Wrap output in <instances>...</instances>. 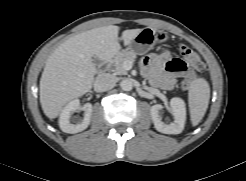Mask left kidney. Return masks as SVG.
Masks as SVG:
<instances>
[{"instance_id":"1","label":"left kidney","mask_w":246,"mask_h":181,"mask_svg":"<svg viewBox=\"0 0 246 181\" xmlns=\"http://www.w3.org/2000/svg\"><path fill=\"white\" fill-rule=\"evenodd\" d=\"M170 108L173 115V122H164L162 120L161 104L153 105L150 114L154 127L157 131L164 134H179L183 131L186 121V106L183 99L174 97L170 101Z\"/></svg>"}]
</instances>
